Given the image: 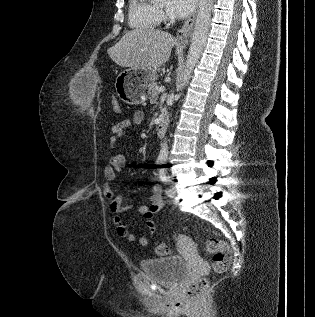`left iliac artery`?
<instances>
[{"label":"left iliac artery","instance_id":"obj_1","mask_svg":"<svg viewBox=\"0 0 315 317\" xmlns=\"http://www.w3.org/2000/svg\"><path fill=\"white\" fill-rule=\"evenodd\" d=\"M159 178L162 182H167L168 181V177L165 175V171L163 168H161L159 170ZM167 192V191H166Z\"/></svg>","mask_w":315,"mask_h":317}]
</instances>
